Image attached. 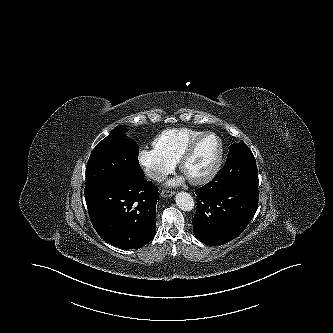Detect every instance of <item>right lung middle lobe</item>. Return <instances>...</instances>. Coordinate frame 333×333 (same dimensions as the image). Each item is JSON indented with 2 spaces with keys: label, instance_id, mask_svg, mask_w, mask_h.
<instances>
[{
  "label": "right lung middle lobe",
  "instance_id": "obj_1",
  "mask_svg": "<svg viewBox=\"0 0 333 333\" xmlns=\"http://www.w3.org/2000/svg\"><path fill=\"white\" fill-rule=\"evenodd\" d=\"M126 131L124 125L116 126L93 149L86 166L85 194L144 176L138 162L139 146L124 135Z\"/></svg>",
  "mask_w": 333,
  "mask_h": 333
}]
</instances>
